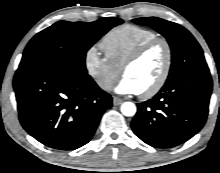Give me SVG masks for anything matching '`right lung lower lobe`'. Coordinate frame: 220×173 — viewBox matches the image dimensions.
Returning a JSON list of instances; mask_svg holds the SVG:
<instances>
[{
	"label": "right lung lower lobe",
	"instance_id": "right-lung-lower-lobe-1",
	"mask_svg": "<svg viewBox=\"0 0 220 173\" xmlns=\"http://www.w3.org/2000/svg\"><path fill=\"white\" fill-rule=\"evenodd\" d=\"M13 85L23 128L53 149L85 145L112 106L111 96L89 75L55 66L19 67Z\"/></svg>",
	"mask_w": 220,
	"mask_h": 173
}]
</instances>
